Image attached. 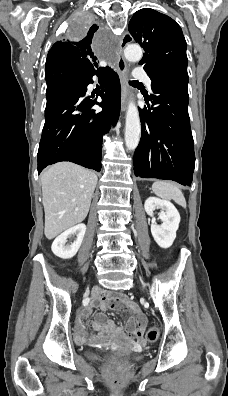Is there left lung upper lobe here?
<instances>
[{
  "label": "left lung upper lobe",
  "instance_id": "left-lung-upper-lobe-1",
  "mask_svg": "<svg viewBox=\"0 0 228 396\" xmlns=\"http://www.w3.org/2000/svg\"><path fill=\"white\" fill-rule=\"evenodd\" d=\"M128 27L132 38L145 50L139 64L150 79L187 87V44L180 26L167 15L143 8L134 13Z\"/></svg>",
  "mask_w": 228,
  "mask_h": 396
}]
</instances>
